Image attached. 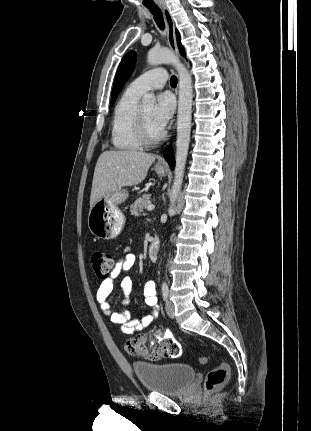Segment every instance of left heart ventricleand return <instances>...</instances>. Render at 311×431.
Here are the masks:
<instances>
[{"label":"left heart ventricle","mask_w":311,"mask_h":431,"mask_svg":"<svg viewBox=\"0 0 311 431\" xmlns=\"http://www.w3.org/2000/svg\"><path fill=\"white\" fill-rule=\"evenodd\" d=\"M141 111L146 120L150 136L154 138L158 137L161 134V131L156 127V125L153 122V108L148 107V108L141 109Z\"/></svg>","instance_id":"obj_1"}]
</instances>
